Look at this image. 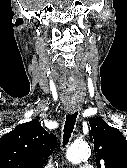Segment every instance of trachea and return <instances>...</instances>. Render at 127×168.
I'll list each match as a JSON object with an SVG mask.
<instances>
[{"label": "trachea", "instance_id": "3493384b", "mask_svg": "<svg viewBox=\"0 0 127 168\" xmlns=\"http://www.w3.org/2000/svg\"><path fill=\"white\" fill-rule=\"evenodd\" d=\"M77 115H78V112H75L73 114H69L66 116L64 135H63V147L68 143L71 137V133L73 132Z\"/></svg>", "mask_w": 127, "mask_h": 168}]
</instances>
